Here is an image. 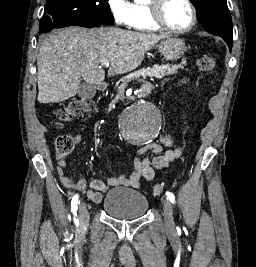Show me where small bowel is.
Returning a JSON list of instances; mask_svg holds the SVG:
<instances>
[{
    "mask_svg": "<svg viewBox=\"0 0 256 267\" xmlns=\"http://www.w3.org/2000/svg\"><path fill=\"white\" fill-rule=\"evenodd\" d=\"M186 80L183 79L182 83ZM143 92L149 93V88L145 87ZM82 138L80 135H76L73 139L74 144L78 145ZM173 145V138L169 134L163 135L158 142L150 143L142 147L136 155L134 160L133 170L127 174H115L112 175L107 182L100 179H95L90 182V189L87 191V197L95 202L99 203L102 200L103 194L108 191L109 188L119 186L139 187L142 180L151 181L155 176L156 169H163L167 167L171 162L178 159L181 156V147L171 148ZM164 148L168 150L164 151ZM153 153L154 157L149 159L147 154ZM66 160L64 158L57 159V174L60 178L63 186L73 191H84L87 188L88 182L85 178H81L74 181L65 172Z\"/></svg>",
    "mask_w": 256,
    "mask_h": 267,
    "instance_id": "obj_1",
    "label": "small bowel"
}]
</instances>
